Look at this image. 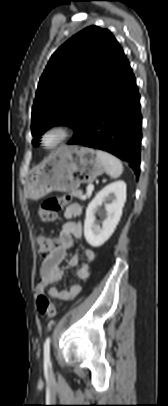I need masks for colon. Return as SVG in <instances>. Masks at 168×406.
<instances>
[{
  "label": "colon",
  "mask_w": 168,
  "mask_h": 406,
  "mask_svg": "<svg viewBox=\"0 0 168 406\" xmlns=\"http://www.w3.org/2000/svg\"><path fill=\"white\" fill-rule=\"evenodd\" d=\"M69 202L68 196H52L47 198L38 209V217L42 222L54 221L58 213ZM39 255L47 258L57 245V241L50 235L38 237ZM37 310L40 314L53 318L56 315V307L44 294L37 297Z\"/></svg>",
  "instance_id": "5ec220e1"
}]
</instances>
